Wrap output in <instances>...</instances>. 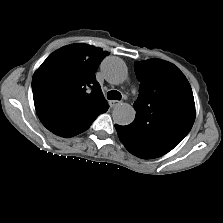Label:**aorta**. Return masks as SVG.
<instances>
[{
    "label": "aorta",
    "instance_id": "aorta-1",
    "mask_svg": "<svg viewBox=\"0 0 223 223\" xmlns=\"http://www.w3.org/2000/svg\"><path fill=\"white\" fill-rule=\"evenodd\" d=\"M106 80L114 85L123 83L127 77L125 63L117 57H107L101 64ZM136 116L135 109L128 103H120L113 109V121L121 126L131 124Z\"/></svg>",
    "mask_w": 223,
    "mask_h": 223
}]
</instances>
